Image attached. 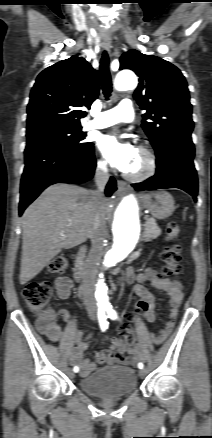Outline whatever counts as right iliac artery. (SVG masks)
<instances>
[{
    "label": "right iliac artery",
    "mask_w": 212,
    "mask_h": 438,
    "mask_svg": "<svg viewBox=\"0 0 212 438\" xmlns=\"http://www.w3.org/2000/svg\"><path fill=\"white\" fill-rule=\"evenodd\" d=\"M106 319H107V316L105 315V309H99L98 310V321H99V325H100L102 331H105L108 328V322ZM73 371L78 372L79 367L75 366L73 368Z\"/></svg>",
    "instance_id": "obj_1"
}]
</instances>
